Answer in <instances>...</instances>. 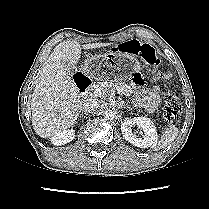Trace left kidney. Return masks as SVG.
<instances>
[{
  "label": "left kidney",
  "instance_id": "left-kidney-1",
  "mask_svg": "<svg viewBox=\"0 0 209 209\" xmlns=\"http://www.w3.org/2000/svg\"><path fill=\"white\" fill-rule=\"evenodd\" d=\"M137 125L144 132L142 137H137L131 127ZM121 132L126 141L139 148L154 147L157 144V131L154 123L146 117L126 118L121 122Z\"/></svg>",
  "mask_w": 209,
  "mask_h": 209
}]
</instances>
